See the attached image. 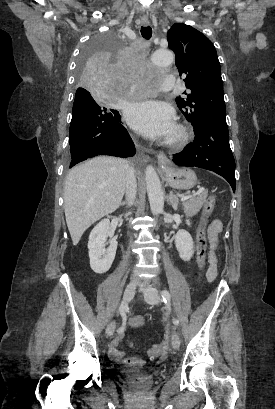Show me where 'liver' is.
Listing matches in <instances>:
<instances>
[{
  "label": "liver",
  "instance_id": "1",
  "mask_svg": "<svg viewBox=\"0 0 275 409\" xmlns=\"http://www.w3.org/2000/svg\"><path fill=\"white\" fill-rule=\"evenodd\" d=\"M126 170V160L115 156H96L69 170L64 211L73 245H78L88 227L121 205Z\"/></svg>",
  "mask_w": 275,
  "mask_h": 409
}]
</instances>
